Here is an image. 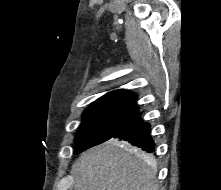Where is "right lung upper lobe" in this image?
I'll list each match as a JSON object with an SVG mask.
<instances>
[{
  "mask_svg": "<svg viewBox=\"0 0 221 190\" xmlns=\"http://www.w3.org/2000/svg\"><path fill=\"white\" fill-rule=\"evenodd\" d=\"M136 100V94L125 89H120L105 94L90 105H113L139 111Z\"/></svg>",
  "mask_w": 221,
  "mask_h": 190,
  "instance_id": "cb5924a9",
  "label": "right lung upper lobe"
}]
</instances>
